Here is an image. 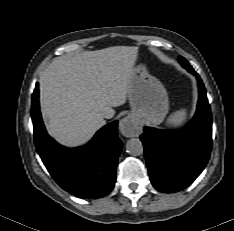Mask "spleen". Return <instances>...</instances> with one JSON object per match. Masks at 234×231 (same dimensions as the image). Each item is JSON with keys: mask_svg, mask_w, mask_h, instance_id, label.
Instances as JSON below:
<instances>
[{"mask_svg": "<svg viewBox=\"0 0 234 231\" xmlns=\"http://www.w3.org/2000/svg\"><path fill=\"white\" fill-rule=\"evenodd\" d=\"M187 109H180L172 113L166 121L167 127H179L187 121Z\"/></svg>", "mask_w": 234, "mask_h": 231, "instance_id": "1", "label": "spleen"}]
</instances>
